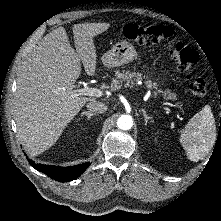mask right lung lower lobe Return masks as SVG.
<instances>
[{
  "label": "right lung lower lobe",
  "mask_w": 221,
  "mask_h": 221,
  "mask_svg": "<svg viewBox=\"0 0 221 221\" xmlns=\"http://www.w3.org/2000/svg\"><path fill=\"white\" fill-rule=\"evenodd\" d=\"M28 161L30 165H32V167H34L36 170L45 173L50 178L59 182H68L75 179L76 177L81 175L90 165V163L87 162L71 167H60L53 165L36 164L30 159H28Z\"/></svg>",
  "instance_id": "right-lung-lower-lobe-1"
}]
</instances>
